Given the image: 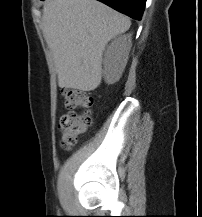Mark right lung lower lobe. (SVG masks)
I'll list each match as a JSON object with an SVG mask.
<instances>
[{"label": "right lung lower lobe", "instance_id": "98d812e1", "mask_svg": "<svg viewBox=\"0 0 202 217\" xmlns=\"http://www.w3.org/2000/svg\"><path fill=\"white\" fill-rule=\"evenodd\" d=\"M131 18L140 20L146 0H98Z\"/></svg>", "mask_w": 202, "mask_h": 217}]
</instances>
